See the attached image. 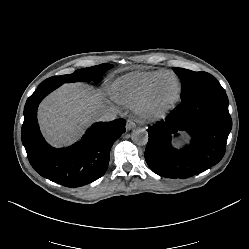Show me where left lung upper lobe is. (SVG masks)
<instances>
[{"label":"left lung upper lobe","instance_id":"obj_1","mask_svg":"<svg viewBox=\"0 0 249 249\" xmlns=\"http://www.w3.org/2000/svg\"><path fill=\"white\" fill-rule=\"evenodd\" d=\"M174 72L182 80V100L205 91L222 89L218 80L209 73L194 72L183 68H174Z\"/></svg>","mask_w":249,"mask_h":249}]
</instances>
